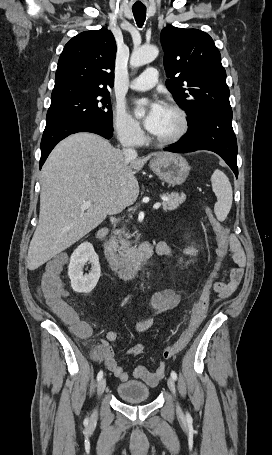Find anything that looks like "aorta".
<instances>
[{"label": "aorta", "instance_id": "aorta-1", "mask_svg": "<svg viewBox=\"0 0 272 455\" xmlns=\"http://www.w3.org/2000/svg\"><path fill=\"white\" fill-rule=\"evenodd\" d=\"M159 54V50L154 45L142 46L133 50L130 65L131 67H140L142 65L152 62ZM136 117H143L145 115L144 110L135 112Z\"/></svg>", "mask_w": 272, "mask_h": 455}]
</instances>
